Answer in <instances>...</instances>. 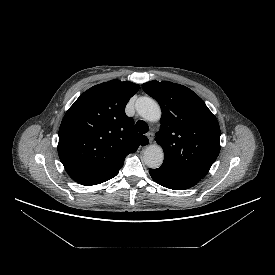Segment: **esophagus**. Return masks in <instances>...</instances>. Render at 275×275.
<instances>
[{
    "label": "esophagus",
    "instance_id": "1",
    "mask_svg": "<svg viewBox=\"0 0 275 275\" xmlns=\"http://www.w3.org/2000/svg\"><path fill=\"white\" fill-rule=\"evenodd\" d=\"M147 138H148V141L149 143L151 144L153 142V139H154V134L153 132H149L146 134Z\"/></svg>",
    "mask_w": 275,
    "mask_h": 275
}]
</instances>
